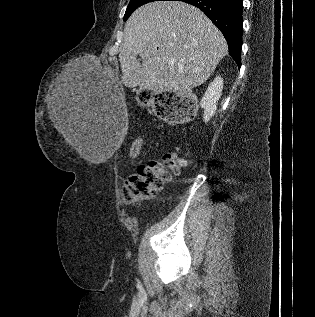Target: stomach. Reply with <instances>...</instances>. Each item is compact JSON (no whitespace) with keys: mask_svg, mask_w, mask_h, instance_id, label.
<instances>
[{"mask_svg":"<svg viewBox=\"0 0 315 317\" xmlns=\"http://www.w3.org/2000/svg\"><path fill=\"white\" fill-rule=\"evenodd\" d=\"M140 94L141 95H152L153 94V89L152 88H141L140 89ZM142 103L143 104H148L149 103V98L148 97H143L142 98Z\"/></svg>","mask_w":315,"mask_h":317,"instance_id":"0dacf381","label":"stomach"}]
</instances>
